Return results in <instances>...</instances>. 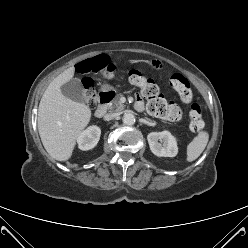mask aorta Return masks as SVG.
<instances>
[{
    "instance_id": "1",
    "label": "aorta",
    "mask_w": 248,
    "mask_h": 248,
    "mask_svg": "<svg viewBox=\"0 0 248 248\" xmlns=\"http://www.w3.org/2000/svg\"><path fill=\"white\" fill-rule=\"evenodd\" d=\"M122 121L126 125H133L135 123V116L132 113H125L123 115Z\"/></svg>"
}]
</instances>
